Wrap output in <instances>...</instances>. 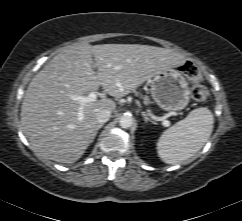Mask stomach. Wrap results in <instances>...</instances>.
<instances>
[{
    "label": "stomach",
    "mask_w": 242,
    "mask_h": 221,
    "mask_svg": "<svg viewBox=\"0 0 242 221\" xmlns=\"http://www.w3.org/2000/svg\"><path fill=\"white\" fill-rule=\"evenodd\" d=\"M150 91L154 101L165 111H180L190 100V90L183 72L173 68L151 77Z\"/></svg>",
    "instance_id": "0dacf381"
}]
</instances>
